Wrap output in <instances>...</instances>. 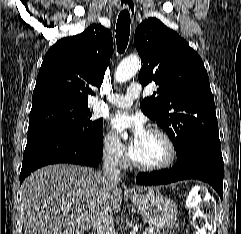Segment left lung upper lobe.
<instances>
[{
    "mask_svg": "<svg viewBox=\"0 0 241 234\" xmlns=\"http://www.w3.org/2000/svg\"><path fill=\"white\" fill-rule=\"evenodd\" d=\"M134 41L143 61L139 82L155 81L158 86L141 110L166 131L177 157L193 146L221 147L214 98L200 56L156 18L137 27Z\"/></svg>",
    "mask_w": 241,
    "mask_h": 234,
    "instance_id": "left-lung-upper-lobe-1",
    "label": "left lung upper lobe"
}]
</instances>
